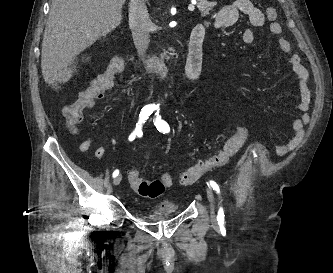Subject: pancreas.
I'll return each instance as SVG.
<instances>
[{
  "instance_id": "1",
  "label": "pancreas",
  "mask_w": 333,
  "mask_h": 273,
  "mask_svg": "<svg viewBox=\"0 0 333 273\" xmlns=\"http://www.w3.org/2000/svg\"><path fill=\"white\" fill-rule=\"evenodd\" d=\"M214 4L208 2L207 0H198L197 7L200 10L202 16L209 15V12L212 10Z\"/></svg>"
}]
</instances>
